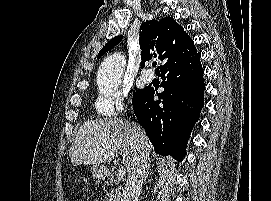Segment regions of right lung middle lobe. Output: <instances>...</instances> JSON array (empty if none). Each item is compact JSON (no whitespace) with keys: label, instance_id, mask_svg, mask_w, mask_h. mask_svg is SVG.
Returning a JSON list of instances; mask_svg holds the SVG:
<instances>
[{"label":"right lung middle lobe","instance_id":"dd1d6c3e","mask_svg":"<svg viewBox=\"0 0 271 201\" xmlns=\"http://www.w3.org/2000/svg\"><path fill=\"white\" fill-rule=\"evenodd\" d=\"M141 91H142V90H138L135 94H138V93H140ZM135 94H134V95H135Z\"/></svg>","mask_w":271,"mask_h":201}]
</instances>
